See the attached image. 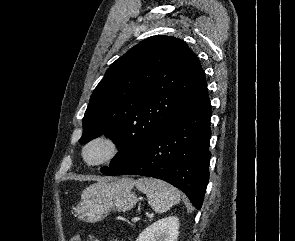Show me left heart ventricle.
Instances as JSON below:
<instances>
[{"mask_svg": "<svg viewBox=\"0 0 295 241\" xmlns=\"http://www.w3.org/2000/svg\"><path fill=\"white\" fill-rule=\"evenodd\" d=\"M108 148L105 144L98 143L93 145L88 151V159L91 161H97L105 156L107 153Z\"/></svg>", "mask_w": 295, "mask_h": 241, "instance_id": "left-heart-ventricle-1", "label": "left heart ventricle"}]
</instances>
